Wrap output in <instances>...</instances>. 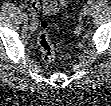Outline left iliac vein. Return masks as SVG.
Segmentation results:
<instances>
[{
  "label": "left iliac vein",
  "instance_id": "left-iliac-vein-1",
  "mask_svg": "<svg viewBox=\"0 0 111 106\" xmlns=\"http://www.w3.org/2000/svg\"><path fill=\"white\" fill-rule=\"evenodd\" d=\"M89 13H90V7H88V6L84 7L83 14L84 15H89Z\"/></svg>",
  "mask_w": 111,
  "mask_h": 106
}]
</instances>
